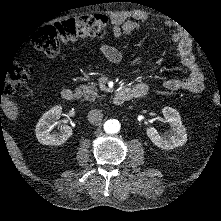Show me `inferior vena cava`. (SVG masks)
<instances>
[{
  "mask_svg": "<svg viewBox=\"0 0 221 221\" xmlns=\"http://www.w3.org/2000/svg\"><path fill=\"white\" fill-rule=\"evenodd\" d=\"M103 113L101 110L93 109L88 113V121L90 124L98 126L102 123Z\"/></svg>",
  "mask_w": 221,
  "mask_h": 221,
  "instance_id": "602c4592",
  "label": "inferior vena cava"
}]
</instances>
